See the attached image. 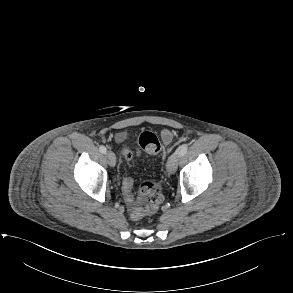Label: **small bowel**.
Instances as JSON below:
<instances>
[{
	"label": "small bowel",
	"instance_id": "1",
	"mask_svg": "<svg viewBox=\"0 0 293 293\" xmlns=\"http://www.w3.org/2000/svg\"><path fill=\"white\" fill-rule=\"evenodd\" d=\"M163 138H164L165 142L168 143V142H170L172 140V135L169 132H165L163 134ZM125 139H126V133L125 132H118V133H116V135H115V141L117 143H122ZM123 155H124V157L127 160H130L132 158H140L141 155H142V152L139 149H137L134 153L131 152L130 150H125L123 152ZM125 200L127 202L128 208L131 209L130 198L127 195H125Z\"/></svg>",
	"mask_w": 293,
	"mask_h": 293
}]
</instances>
